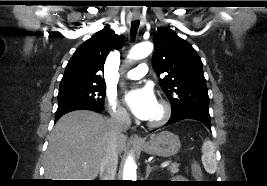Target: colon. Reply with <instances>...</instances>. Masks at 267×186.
I'll return each mask as SVG.
<instances>
[{"mask_svg":"<svg viewBox=\"0 0 267 186\" xmlns=\"http://www.w3.org/2000/svg\"><path fill=\"white\" fill-rule=\"evenodd\" d=\"M192 171L195 173V174H200L201 173V168L199 166L198 163H193L192 165Z\"/></svg>","mask_w":267,"mask_h":186,"instance_id":"colon-1","label":"colon"}]
</instances>
